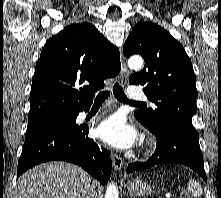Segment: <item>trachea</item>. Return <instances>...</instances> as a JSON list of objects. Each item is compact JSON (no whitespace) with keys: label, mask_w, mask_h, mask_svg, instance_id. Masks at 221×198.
<instances>
[{"label":"trachea","mask_w":221,"mask_h":198,"mask_svg":"<svg viewBox=\"0 0 221 198\" xmlns=\"http://www.w3.org/2000/svg\"><path fill=\"white\" fill-rule=\"evenodd\" d=\"M109 94H110L109 91H102V92L98 93L94 103L95 104H102L105 101V99L108 98ZM113 94L121 102H126V103H130V104H143L141 102H134V101L129 100L126 97L122 87L118 83H115L113 86Z\"/></svg>","instance_id":"3493384b"}]
</instances>
